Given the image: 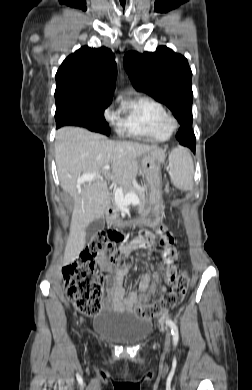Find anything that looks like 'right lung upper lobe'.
Instances as JSON below:
<instances>
[{"label": "right lung upper lobe", "mask_w": 252, "mask_h": 390, "mask_svg": "<svg viewBox=\"0 0 252 390\" xmlns=\"http://www.w3.org/2000/svg\"><path fill=\"white\" fill-rule=\"evenodd\" d=\"M117 66L111 50L81 47L56 73V105L63 102L111 103Z\"/></svg>", "instance_id": "cb5924a9"}]
</instances>
